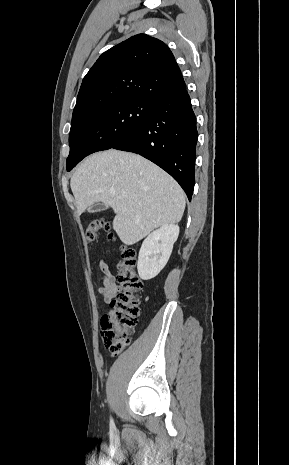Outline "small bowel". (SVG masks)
<instances>
[{"label":"small bowel","mask_w":289,"mask_h":465,"mask_svg":"<svg viewBox=\"0 0 289 465\" xmlns=\"http://www.w3.org/2000/svg\"><path fill=\"white\" fill-rule=\"evenodd\" d=\"M101 277L100 281L102 286L98 287V292L105 303L111 302L121 291V287L117 284L115 276L110 270V266L102 261L100 263Z\"/></svg>","instance_id":"small-bowel-1"}]
</instances>
